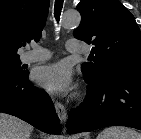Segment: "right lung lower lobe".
Masks as SVG:
<instances>
[{"label":"right lung lower lobe","instance_id":"obj_1","mask_svg":"<svg viewBox=\"0 0 141 139\" xmlns=\"http://www.w3.org/2000/svg\"><path fill=\"white\" fill-rule=\"evenodd\" d=\"M0 112L16 116L39 130L59 135L61 125L50 97L21 77L0 79Z\"/></svg>","mask_w":141,"mask_h":139}]
</instances>
